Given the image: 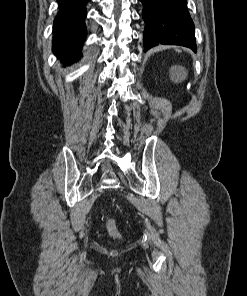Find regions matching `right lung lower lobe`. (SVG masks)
Returning <instances> with one entry per match:
<instances>
[{
  "label": "right lung lower lobe",
  "instance_id": "98d812e1",
  "mask_svg": "<svg viewBox=\"0 0 247 296\" xmlns=\"http://www.w3.org/2000/svg\"><path fill=\"white\" fill-rule=\"evenodd\" d=\"M59 12L53 26V52L67 64L80 57L86 37V4L89 0H57Z\"/></svg>",
  "mask_w": 247,
  "mask_h": 296
}]
</instances>
